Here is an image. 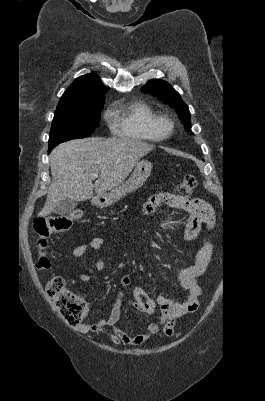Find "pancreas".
<instances>
[{
	"instance_id": "cf45deb5",
	"label": "pancreas",
	"mask_w": 265,
	"mask_h": 401,
	"mask_svg": "<svg viewBox=\"0 0 265 401\" xmlns=\"http://www.w3.org/2000/svg\"><path fill=\"white\" fill-rule=\"evenodd\" d=\"M110 215H114V211H111Z\"/></svg>"
}]
</instances>
